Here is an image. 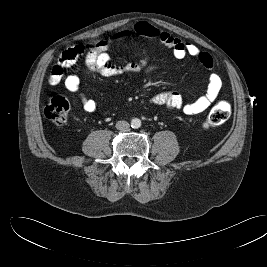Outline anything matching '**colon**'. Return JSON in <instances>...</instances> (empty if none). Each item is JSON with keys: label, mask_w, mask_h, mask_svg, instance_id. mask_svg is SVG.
Masks as SVG:
<instances>
[{"label": "colon", "mask_w": 267, "mask_h": 267, "mask_svg": "<svg viewBox=\"0 0 267 267\" xmlns=\"http://www.w3.org/2000/svg\"><path fill=\"white\" fill-rule=\"evenodd\" d=\"M44 114L53 124L62 126L68 120L69 103L63 96L52 93L44 108ZM230 115V104L227 101H219L210 110L204 125L206 128L219 126L226 122Z\"/></svg>", "instance_id": "obj_1"}]
</instances>
